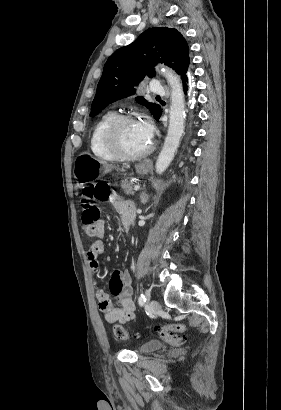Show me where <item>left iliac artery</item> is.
Instances as JSON below:
<instances>
[{"mask_svg": "<svg viewBox=\"0 0 281 410\" xmlns=\"http://www.w3.org/2000/svg\"><path fill=\"white\" fill-rule=\"evenodd\" d=\"M147 294H145V293H140V296H139V304L141 305V306H143L144 304H145V302H146V300H147Z\"/></svg>", "mask_w": 281, "mask_h": 410, "instance_id": "44dca946", "label": "left iliac artery"}]
</instances>
